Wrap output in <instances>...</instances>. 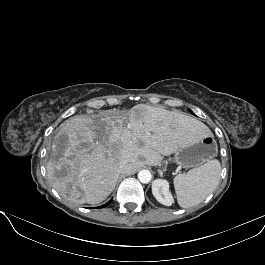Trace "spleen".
<instances>
[{
  "label": "spleen",
  "mask_w": 265,
  "mask_h": 265,
  "mask_svg": "<svg viewBox=\"0 0 265 265\" xmlns=\"http://www.w3.org/2000/svg\"><path fill=\"white\" fill-rule=\"evenodd\" d=\"M221 165L217 159L175 176L173 183L180 207L190 208L201 203L217 187Z\"/></svg>",
  "instance_id": "obj_1"
}]
</instances>
